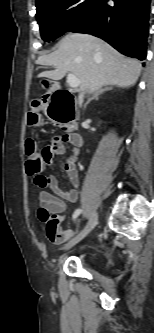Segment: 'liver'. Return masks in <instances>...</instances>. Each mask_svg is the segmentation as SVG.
<instances>
[{"mask_svg": "<svg viewBox=\"0 0 154 333\" xmlns=\"http://www.w3.org/2000/svg\"><path fill=\"white\" fill-rule=\"evenodd\" d=\"M36 64L54 66L38 77L61 80L67 73L80 80L81 91L96 92L102 86L122 88L133 86L141 72V63L130 59L103 40L86 34H68L59 42L58 49L40 56Z\"/></svg>", "mask_w": 154, "mask_h": 333, "instance_id": "liver-1", "label": "liver"}]
</instances>
